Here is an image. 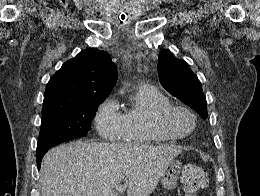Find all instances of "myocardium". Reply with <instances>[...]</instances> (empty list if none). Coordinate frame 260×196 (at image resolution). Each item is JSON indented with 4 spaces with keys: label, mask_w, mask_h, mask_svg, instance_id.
Returning <instances> with one entry per match:
<instances>
[{
    "label": "myocardium",
    "mask_w": 260,
    "mask_h": 196,
    "mask_svg": "<svg viewBox=\"0 0 260 196\" xmlns=\"http://www.w3.org/2000/svg\"><path fill=\"white\" fill-rule=\"evenodd\" d=\"M173 112H180V113L184 114L185 116H187L191 121L190 128L183 132L177 131L176 129L172 128L168 124V119H169V116ZM193 117H194V114L189 108L182 106V105L169 104L158 110L157 117L155 118V120L152 121L151 126L154 129L161 132L162 134L169 136L170 138L185 139L188 136H190L194 131V125L192 123Z\"/></svg>",
    "instance_id": "1"
}]
</instances>
